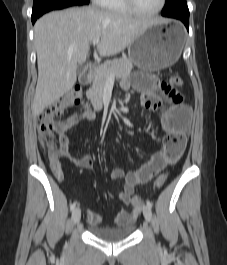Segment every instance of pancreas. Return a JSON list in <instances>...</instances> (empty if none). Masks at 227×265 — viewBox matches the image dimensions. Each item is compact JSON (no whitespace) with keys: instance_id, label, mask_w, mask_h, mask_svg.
I'll use <instances>...</instances> for the list:
<instances>
[{"instance_id":"1","label":"pancreas","mask_w":227,"mask_h":265,"mask_svg":"<svg viewBox=\"0 0 227 265\" xmlns=\"http://www.w3.org/2000/svg\"><path fill=\"white\" fill-rule=\"evenodd\" d=\"M133 62L128 58H118L105 61L97 66L94 71L92 86L87 91V97L94 104H102L103 88L110 76L117 78L126 77L131 73Z\"/></svg>"}]
</instances>
